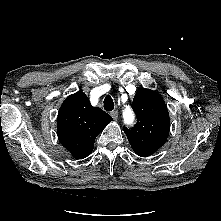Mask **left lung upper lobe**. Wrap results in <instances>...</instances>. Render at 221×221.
I'll use <instances>...</instances> for the list:
<instances>
[{
  "label": "left lung upper lobe",
  "instance_id": "obj_1",
  "mask_svg": "<svg viewBox=\"0 0 221 221\" xmlns=\"http://www.w3.org/2000/svg\"><path fill=\"white\" fill-rule=\"evenodd\" d=\"M133 108L137 123L131 129L124 127V132L134 152L141 157H148L157 151L168 137L169 113L162 97L150 89L137 91Z\"/></svg>",
  "mask_w": 221,
  "mask_h": 221
}]
</instances>
